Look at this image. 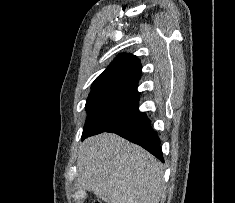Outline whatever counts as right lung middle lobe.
<instances>
[{"label":"right lung middle lobe","mask_w":235,"mask_h":203,"mask_svg":"<svg viewBox=\"0 0 235 203\" xmlns=\"http://www.w3.org/2000/svg\"><path fill=\"white\" fill-rule=\"evenodd\" d=\"M139 92L137 86L114 84L93 87L87 102V119L82 138L97 125L124 108L137 102Z\"/></svg>","instance_id":"1"}]
</instances>
